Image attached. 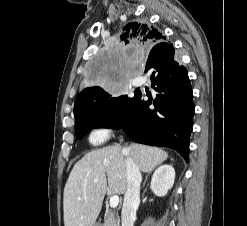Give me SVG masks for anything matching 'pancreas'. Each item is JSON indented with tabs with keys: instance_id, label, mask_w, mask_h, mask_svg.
Wrapping results in <instances>:
<instances>
[{
	"instance_id": "obj_1",
	"label": "pancreas",
	"mask_w": 247,
	"mask_h": 226,
	"mask_svg": "<svg viewBox=\"0 0 247 226\" xmlns=\"http://www.w3.org/2000/svg\"><path fill=\"white\" fill-rule=\"evenodd\" d=\"M103 226H119V218L115 212L109 211L105 214Z\"/></svg>"
}]
</instances>
